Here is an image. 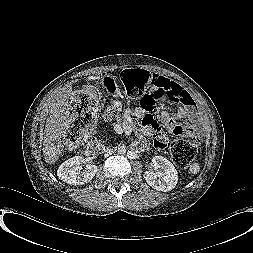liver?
<instances>
[{"label":"liver","instance_id":"6515ba94","mask_svg":"<svg viewBox=\"0 0 253 253\" xmlns=\"http://www.w3.org/2000/svg\"><path fill=\"white\" fill-rule=\"evenodd\" d=\"M71 91V87L61 88L51 103L43 141V154L48 164H54L64 149L63 142L69 128L68 99L71 96Z\"/></svg>","mask_w":253,"mask_h":253}]
</instances>
